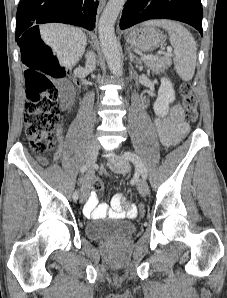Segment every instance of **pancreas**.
Instances as JSON below:
<instances>
[{
	"mask_svg": "<svg viewBox=\"0 0 227 298\" xmlns=\"http://www.w3.org/2000/svg\"><path fill=\"white\" fill-rule=\"evenodd\" d=\"M153 72H160L168 69L171 66L172 60L169 56H164L159 59L146 60L144 62Z\"/></svg>",
	"mask_w": 227,
	"mask_h": 298,
	"instance_id": "cf45deb5",
	"label": "pancreas"
}]
</instances>
